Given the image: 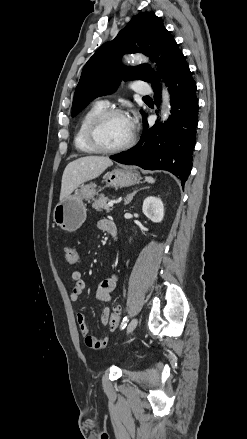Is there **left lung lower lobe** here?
I'll return each instance as SVG.
<instances>
[{
  "mask_svg": "<svg viewBox=\"0 0 247 439\" xmlns=\"http://www.w3.org/2000/svg\"><path fill=\"white\" fill-rule=\"evenodd\" d=\"M166 84L169 86L172 106L168 121L148 129L145 114L144 132L139 143L110 158L143 169L170 171L184 186L191 171L198 114L196 83L185 58L167 78ZM160 92V86L154 88L155 104L159 103Z\"/></svg>",
  "mask_w": 247,
  "mask_h": 439,
  "instance_id": "1",
  "label": "left lung lower lobe"
}]
</instances>
